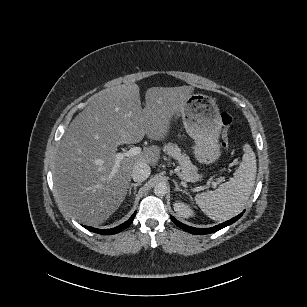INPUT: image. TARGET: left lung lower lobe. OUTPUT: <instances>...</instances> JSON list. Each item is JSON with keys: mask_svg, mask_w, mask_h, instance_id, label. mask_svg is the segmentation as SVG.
Listing matches in <instances>:
<instances>
[{"mask_svg": "<svg viewBox=\"0 0 307 307\" xmlns=\"http://www.w3.org/2000/svg\"><path fill=\"white\" fill-rule=\"evenodd\" d=\"M243 213L239 214L238 216L232 218L231 220H228L222 224H219L217 226L211 227V228H205V229H201V228H194V227H190L187 226L181 222H179L178 220H176L174 217L171 216L172 221L180 228L184 229L185 231L191 233V234H197V235H201V234H209V233H213L216 232L232 223H234L235 221H237Z\"/></svg>", "mask_w": 307, "mask_h": 307, "instance_id": "1", "label": "left lung lower lobe"}]
</instances>
